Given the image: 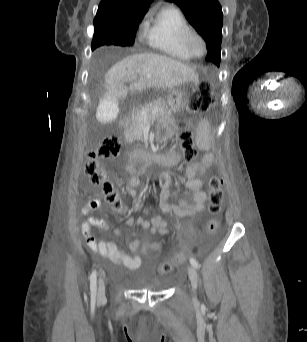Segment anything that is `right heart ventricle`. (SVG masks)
I'll use <instances>...</instances> for the list:
<instances>
[{"label":"right heart ventricle","mask_w":307,"mask_h":342,"mask_svg":"<svg viewBox=\"0 0 307 342\" xmlns=\"http://www.w3.org/2000/svg\"><path fill=\"white\" fill-rule=\"evenodd\" d=\"M192 25L190 17L179 8H170L163 13L162 28L157 33L137 35L138 51H153L177 61L189 62L182 38Z\"/></svg>","instance_id":"1"}]
</instances>
